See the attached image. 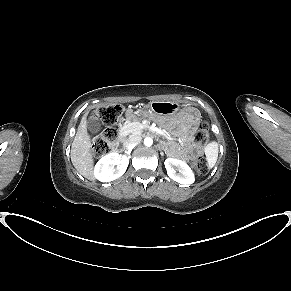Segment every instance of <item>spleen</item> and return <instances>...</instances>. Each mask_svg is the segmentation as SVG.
Listing matches in <instances>:
<instances>
[{
  "instance_id": "obj_1",
  "label": "spleen",
  "mask_w": 291,
  "mask_h": 291,
  "mask_svg": "<svg viewBox=\"0 0 291 291\" xmlns=\"http://www.w3.org/2000/svg\"><path fill=\"white\" fill-rule=\"evenodd\" d=\"M205 155L208 163V167H214L218 158V143L211 142L205 147Z\"/></svg>"
}]
</instances>
